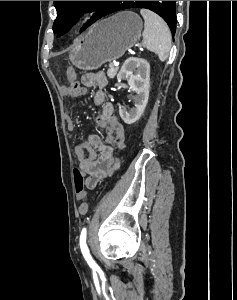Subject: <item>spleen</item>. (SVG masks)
<instances>
[{"label":"spleen","mask_w":237,"mask_h":300,"mask_svg":"<svg viewBox=\"0 0 237 300\" xmlns=\"http://www.w3.org/2000/svg\"><path fill=\"white\" fill-rule=\"evenodd\" d=\"M140 15L144 19L143 47L156 53L160 61H166L171 49V33L167 23L148 9H141Z\"/></svg>","instance_id":"3e777b00"}]
</instances>
